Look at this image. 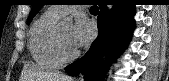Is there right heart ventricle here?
<instances>
[{
	"mask_svg": "<svg viewBox=\"0 0 169 81\" xmlns=\"http://www.w3.org/2000/svg\"><path fill=\"white\" fill-rule=\"evenodd\" d=\"M60 17V13L50 8L31 27L29 51L41 67L57 68L61 63L54 50V33Z\"/></svg>",
	"mask_w": 169,
	"mask_h": 81,
	"instance_id": "obj_1",
	"label": "right heart ventricle"
}]
</instances>
